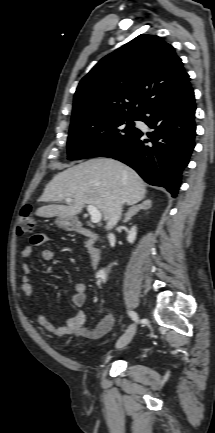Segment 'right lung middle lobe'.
<instances>
[{"mask_svg":"<svg viewBox=\"0 0 215 433\" xmlns=\"http://www.w3.org/2000/svg\"><path fill=\"white\" fill-rule=\"evenodd\" d=\"M134 120H141V116H123L71 125L67 143L68 159L104 156L123 146L140 132L134 127Z\"/></svg>","mask_w":215,"mask_h":433,"instance_id":"1","label":"right lung middle lobe"}]
</instances>
